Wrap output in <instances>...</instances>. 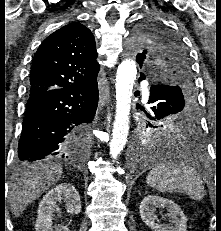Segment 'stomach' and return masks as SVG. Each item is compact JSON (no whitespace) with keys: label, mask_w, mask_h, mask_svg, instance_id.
Here are the masks:
<instances>
[{"label":"stomach","mask_w":221,"mask_h":231,"mask_svg":"<svg viewBox=\"0 0 221 231\" xmlns=\"http://www.w3.org/2000/svg\"><path fill=\"white\" fill-rule=\"evenodd\" d=\"M176 128H177V126L175 124L168 125L167 128H166V131L163 132V133H167V132L173 131Z\"/></svg>","instance_id":"stomach-1"}]
</instances>
